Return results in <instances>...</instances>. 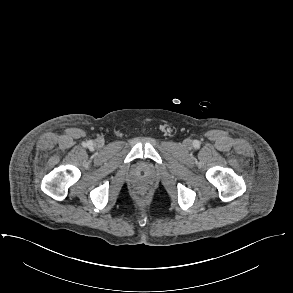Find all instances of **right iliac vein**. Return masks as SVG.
<instances>
[{
  "mask_svg": "<svg viewBox=\"0 0 293 293\" xmlns=\"http://www.w3.org/2000/svg\"><path fill=\"white\" fill-rule=\"evenodd\" d=\"M103 144H104V142H103V140H101V139H98V140H96V142H95V146L98 147V148L102 147Z\"/></svg>",
  "mask_w": 293,
  "mask_h": 293,
  "instance_id": "obj_1",
  "label": "right iliac vein"
}]
</instances>
